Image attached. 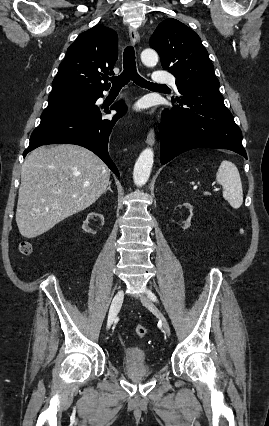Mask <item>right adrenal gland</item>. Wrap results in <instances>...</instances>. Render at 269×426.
Here are the masks:
<instances>
[{"label": "right adrenal gland", "instance_id": "obj_1", "mask_svg": "<svg viewBox=\"0 0 269 426\" xmlns=\"http://www.w3.org/2000/svg\"><path fill=\"white\" fill-rule=\"evenodd\" d=\"M110 191L111 193H113V190L111 189V182H109V184H108V188L105 190V192H107V191ZM104 192V193H105Z\"/></svg>", "mask_w": 269, "mask_h": 426}]
</instances>
